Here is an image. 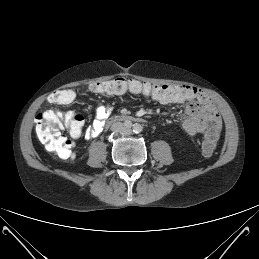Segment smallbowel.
Masks as SVG:
<instances>
[{
  "instance_id": "small-bowel-1",
  "label": "small bowel",
  "mask_w": 259,
  "mask_h": 259,
  "mask_svg": "<svg viewBox=\"0 0 259 259\" xmlns=\"http://www.w3.org/2000/svg\"><path fill=\"white\" fill-rule=\"evenodd\" d=\"M180 86V85H177ZM200 91V96L195 101H181L179 103H168V104H186L185 114L182 126L185 132L190 136H195L197 134L203 133L208 130L211 125H214L220 130L221 118L214 108V106L209 102L207 96ZM159 103L163 104L157 98H153ZM110 107L99 103L95 108V119L92 125L84 131V137L86 139H94L98 137L105 126V121L110 115ZM82 134V133H81ZM81 136V135H80ZM79 136V137H80ZM74 157L72 153L71 158Z\"/></svg>"
}]
</instances>
